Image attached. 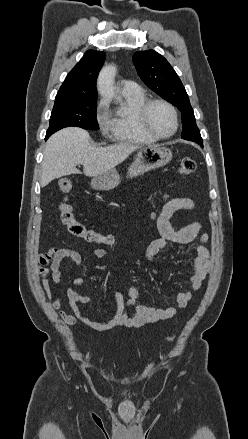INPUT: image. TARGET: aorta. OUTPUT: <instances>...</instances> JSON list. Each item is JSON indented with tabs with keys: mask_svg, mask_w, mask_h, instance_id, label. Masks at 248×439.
Masks as SVG:
<instances>
[{
	"mask_svg": "<svg viewBox=\"0 0 248 439\" xmlns=\"http://www.w3.org/2000/svg\"><path fill=\"white\" fill-rule=\"evenodd\" d=\"M116 67L114 65L105 66L98 77V91L103 97L112 98L115 94V75Z\"/></svg>",
	"mask_w": 248,
	"mask_h": 439,
	"instance_id": "762f6f07",
	"label": "aorta"
}]
</instances>
